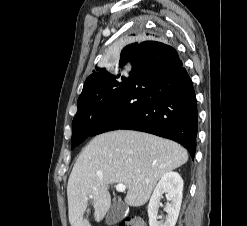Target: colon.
<instances>
[{
  "instance_id": "1",
  "label": "colon",
  "mask_w": 247,
  "mask_h": 226,
  "mask_svg": "<svg viewBox=\"0 0 247 226\" xmlns=\"http://www.w3.org/2000/svg\"><path fill=\"white\" fill-rule=\"evenodd\" d=\"M118 226H146L145 222L139 217H128Z\"/></svg>"
}]
</instances>
